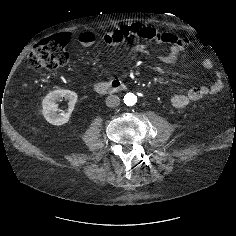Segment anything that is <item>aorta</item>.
<instances>
[{
  "instance_id": "762f6f07",
  "label": "aorta",
  "mask_w": 236,
  "mask_h": 236,
  "mask_svg": "<svg viewBox=\"0 0 236 236\" xmlns=\"http://www.w3.org/2000/svg\"><path fill=\"white\" fill-rule=\"evenodd\" d=\"M137 102V96L133 93H127L125 94L124 96V103L127 105V106H133L135 105Z\"/></svg>"
}]
</instances>
